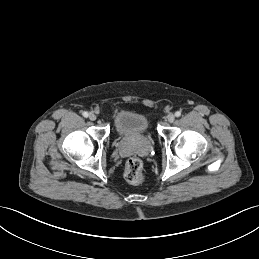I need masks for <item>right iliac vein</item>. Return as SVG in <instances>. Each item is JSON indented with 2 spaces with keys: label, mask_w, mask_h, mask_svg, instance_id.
Instances as JSON below:
<instances>
[{
  "label": "right iliac vein",
  "mask_w": 259,
  "mask_h": 259,
  "mask_svg": "<svg viewBox=\"0 0 259 259\" xmlns=\"http://www.w3.org/2000/svg\"><path fill=\"white\" fill-rule=\"evenodd\" d=\"M96 115L94 114V113H90V115H89V119L91 120V121H95L96 120Z\"/></svg>",
  "instance_id": "1"
}]
</instances>
